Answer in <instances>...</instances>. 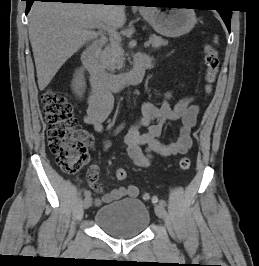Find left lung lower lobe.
I'll list each match as a JSON object with an SVG mask.
<instances>
[{"mask_svg": "<svg viewBox=\"0 0 259 266\" xmlns=\"http://www.w3.org/2000/svg\"><path fill=\"white\" fill-rule=\"evenodd\" d=\"M171 0H165L162 2H157V3H173L170 2ZM221 18L223 19V21L225 22L228 31L230 32V21H231V15H232V11L228 10V9H218Z\"/></svg>", "mask_w": 259, "mask_h": 266, "instance_id": "0a47b994", "label": "left lung lower lobe"}]
</instances>
